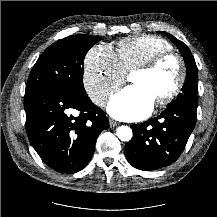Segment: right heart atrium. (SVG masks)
Masks as SVG:
<instances>
[{
  "instance_id": "obj_1",
  "label": "right heart atrium",
  "mask_w": 217,
  "mask_h": 217,
  "mask_svg": "<svg viewBox=\"0 0 217 217\" xmlns=\"http://www.w3.org/2000/svg\"><path fill=\"white\" fill-rule=\"evenodd\" d=\"M83 84L94 104L103 107L125 81L126 72L107 45L93 46L85 57Z\"/></svg>"
}]
</instances>
